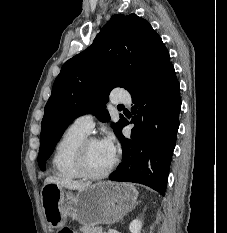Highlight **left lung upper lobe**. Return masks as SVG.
Segmentation results:
<instances>
[{"instance_id": "1", "label": "left lung upper lobe", "mask_w": 227, "mask_h": 233, "mask_svg": "<svg viewBox=\"0 0 227 233\" xmlns=\"http://www.w3.org/2000/svg\"><path fill=\"white\" fill-rule=\"evenodd\" d=\"M169 53L152 26L136 14L114 15L91 46L69 59L57 76L41 124L38 164L52 154L62 133L75 118L93 113L101 121L110 116L104 103L114 87L131 95L152 86L170 67ZM125 118L111 123L116 136Z\"/></svg>"}]
</instances>
